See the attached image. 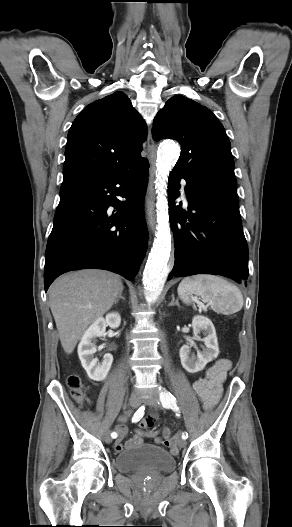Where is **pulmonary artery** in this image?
Instances as JSON below:
<instances>
[{"label": "pulmonary artery", "mask_w": 292, "mask_h": 527, "mask_svg": "<svg viewBox=\"0 0 292 527\" xmlns=\"http://www.w3.org/2000/svg\"><path fill=\"white\" fill-rule=\"evenodd\" d=\"M181 194L183 196V199L186 201L187 199H186V194H185V181L184 180L181 181Z\"/></svg>", "instance_id": "1"}]
</instances>
